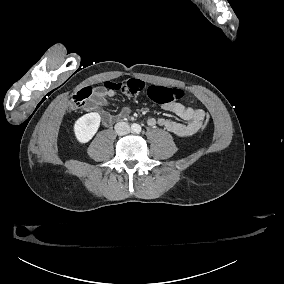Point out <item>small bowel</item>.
<instances>
[{
    "label": "small bowel",
    "instance_id": "small-bowel-1",
    "mask_svg": "<svg viewBox=\"0 0 284 284\" xmlns=\"http://www.w3.org/2000/svg\"><path fill=\"white\" fill-rule=\"evenodd\" d=\"M106 94L110 97L114 96V91H107ZM107 104L106 99L102 93L96 94L89 102L87 110H94L96 108L103 107ZM163 109L175 114L185 122H177L166 119H154L150 118L147 121L149 127L162 126L175 136L186 138L196 134L203 124L205 117V111L202 109L192 108L184 106L180 103H168L163 105ZM130 114V108H123L118 114L119 118H126ZM102 118L105 123L110 122L113 119V115L108 112L102 113Z\"/></svg>",
    "mask_w": 284,
    "mask_h": 284
}]
</instances>
